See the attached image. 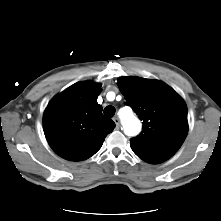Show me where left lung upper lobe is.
Segmentation results:
<instances>
[{
    "label": "left lung upper lobe",
    "instance_id": "left-lung-upper-lobe-1",
    "mask_svg": "<svg viewBox=\"0 0 221 221\" xmlns=\"http://www.w3.org/2000/svg\"><path fill=\"white\" fill-rule=\"evenodd\" d=\"M117 85L141 120L143 130L130 140L133 152L148 163H161L183 144L187 132V106L167 84L151 79L122 77Z\"/></svg>",
    "mask_w": 221,
    "mask_h": 221
}]
</instances>
